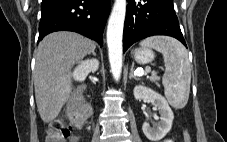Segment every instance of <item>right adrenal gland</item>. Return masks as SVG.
I'll list each match as a JSON object with an SVG mask.
<instances>
[{
    "mask_svg": "<svg viewBox=\"0 0 227 142\" xmlns=\"http://www.w3.org/2000/svg\"><path fill=\"white\" fill-rule=\"evenodd\" d=\"M92 54H93L94 56H96V53H95V51H94V50L92 51Z\"/></svg>",
    "mask_w": 227,
    "mask_h": 142,
    "instance_id": "right-adrenal-gland-1",
    "label": "right adrenal gland"
}]
</instances>
